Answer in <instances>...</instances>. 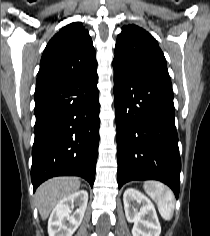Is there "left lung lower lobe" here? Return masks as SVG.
<instances>
[{"label":"left lung lower lobe","mask_w":210,"mask_h":236,"mask_svg":"<svg viewBox=\"0 0 210 236\" xmlns=\"http://www.w3.org/2000/svg\"><path fill=\"white\" fill-rule=\"evenodd\" d=\"M118 187L131 180L156 179L178 198L181 159L170 82L114 69Z\"/></svg>","instance_id":"obj_1"}]
</instances>
